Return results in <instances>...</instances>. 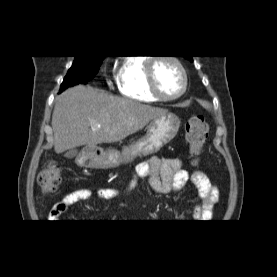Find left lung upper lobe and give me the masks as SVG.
<instances>
[{
  "instance_id": "5c2ea615",
  "label": "left lung upper lobe",
  "mask_w": 277,
  "mask_h": 277,
  "mask_svg": "<svg viewBox=\"0 0 277 277\" xmlns=\"http://www.w3.org/2000/svg\"><path fill=\"white\" fill-rule=\"evenodd\" d=\"M185 58L188 59V60H190V61H193L192 56L185 57Z\"/></svg>"
}]
</instances>
